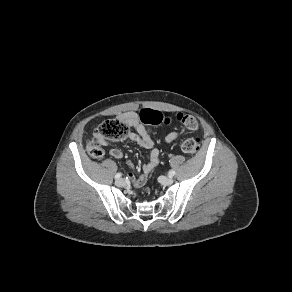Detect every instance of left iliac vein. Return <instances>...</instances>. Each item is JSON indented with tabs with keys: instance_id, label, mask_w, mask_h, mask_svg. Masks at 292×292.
Returning <instances> with one entry per match:
<instances>
[{
	"instance_id": "left-iliac-vein-1",
	"label": "left iliac vein",
	"mask_w": 292,
	"mask_h": 292,
	"mask_svg": "<svg viewBox=\"0 0 292 292\" xmlns=\"http://www.w3.org/2000/svg\"><path fill=\"white\" fill-rule=\"evenodd\" d=\"M159 181L165 186L171 185L174 182L173 178L165 176L160 177Z\"/></svg>"
}]
</instances>
